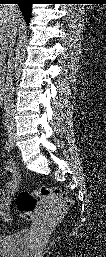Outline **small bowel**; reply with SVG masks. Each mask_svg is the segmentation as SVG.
I'll return each mask as SVG.
<instances>
[{
  "instance_id": "1",
  "label": "small bowel",
  "mask_w": 106,
  "mask_h": 257,
  "mask_svg": "<svg viewBox=\"0 0 106 257\" xmlns=\"http://www.w3.org/2000/svg\"><path fill=\"white\" fill-rule=\"evenodd\" d=\"M4 169L11 175L1 192L0 209L5 213L11 203V198L17 191L20 183V175L16 167L9 161L4 162Z\"/></svg>"
}]
</instances>
